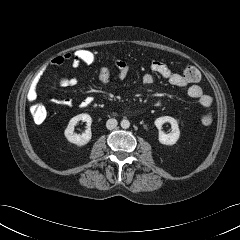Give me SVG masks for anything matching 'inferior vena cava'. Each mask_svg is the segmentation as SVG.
Segmentation results:
<instances>
[{"instance_id": "602c4592", "label": "inferior vena cava", "mask_w": 240, "mask_h": 240, "mask_svg": "<svg viewBox=\"0 0 240 240\" xmlns=\"http://www.w3.org/2000/svg\"><path fill=\"white\" fill-rule=\"evenodd\" d=\"M118 122L116 119H108L107 122H106V127L108 130H112L114 128H116Z\"/></svg>"}]
</instances>
